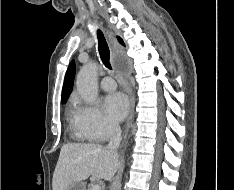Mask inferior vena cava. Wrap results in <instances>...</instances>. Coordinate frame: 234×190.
I'll return each instance as SVG.
<instances>
[{"mask_svg": "<svg viewBox=\"0 0 234 190\" xmlns=\"http://www.w3.org/2000/svg\"><path fill=\"white\" fill-rule=\"evenodd\" d=\"M121 128L118 123L112 122L110 124V141L109 144L107 145V149L114 153L117 154V149L120 145L121 142Z\"/></svg>", "mask_w": 234, "mask_h": 190, "instance_id": "1", "label": "inferior vena cava"}]
</instances>
